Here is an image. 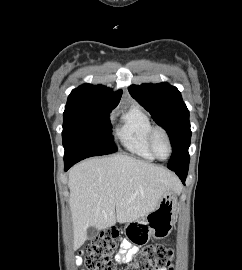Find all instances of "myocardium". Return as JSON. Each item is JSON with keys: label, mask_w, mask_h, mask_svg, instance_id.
Segmentation results:
<instances>
[{"label": "myocardium", "mask_w": 242, "mask_h": 270, "mask_svg": "<svg viewBox=\"0 0 242 270\" xmlns=\"http://www.w3.org/2000/svg\"><path fill=\"white\" fill-rule=\"evenodd\" d=\"M158 134H162L166 140H167V143H168V147H169V153L167 155V157L165 158H161L157 155L156 151H155V147H154V140H155V137L158 135ZM148 146H149V149L152 153V155L158 159V160H166L167 158H169L172 154V151H173V146H172V141H171V138H170V135L169 133L162 127H154L150 134H149V137H148Z\"/></svg>", "instance_id": "obj_1"}]
</instances>
